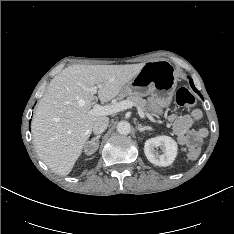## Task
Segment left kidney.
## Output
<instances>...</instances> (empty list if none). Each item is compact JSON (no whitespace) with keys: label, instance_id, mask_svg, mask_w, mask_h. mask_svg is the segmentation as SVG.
Wrapping results in <instances>:
<instances>
[{"label":"left kidney","instance_id":"left-kidney-1","mask_svg":"<svg viewBox=\"0 0 234 234\" xmlns=\"http://www.w3.org/2000/svg\"><path fill=\"white\" fill-rule=\"evenodd\" d=\"M161 148L162 154H159L155 148ZM144 152L147 159L157 166H169L175 160L177 155V143L169 136H157L150 138L145 142Z\"/></svg>","mask_w":234,"mask_h":234}]
</instances>
